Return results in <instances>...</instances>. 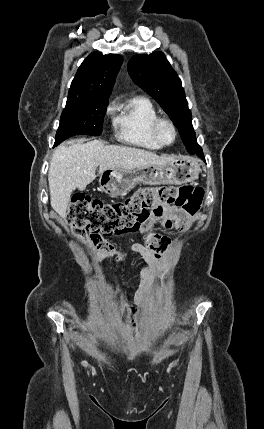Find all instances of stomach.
Listing matches in <instances>:
<instances>
[{"label":"stomach","mask_w":264,"mask_h":429,"mask_svg":"<svg viewBox=\"0 0 264 429\" xmlns=\"http://www.w3.org/2000/svg\"><path fill=\"white\" fill-rule=\"evenodd\" d=\"M201 171L199 161L193 157L182 156L165 165L145 166L139 169H108L100 174L101 190L111 197L127 194L136 184L182 185L198 179Z\"/></svg>","instance_id":"0dacf381"}]
</instances>
